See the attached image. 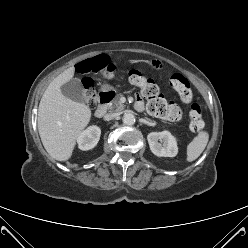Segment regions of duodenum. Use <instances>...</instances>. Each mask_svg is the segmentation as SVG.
<instances>
[{
  "mask_svg": "<svg viewBox=\"0 0 248 248\" xmlns=\"http://www.w3.org/2000/svg\"><path fill=\"white\" fill-rule=\"evenodd\" d=\"M113 94L111 92H100L97 94L99 105L95 111V116L101 118L105 115L109 102L112 99ZM138 105V104H137Z\"/></svg>",
  "mask_w": 248,
  "mask_h": 248,
  "instance_id": "duodenum-1",
  "label": "duodenum"
}]
</instances>
